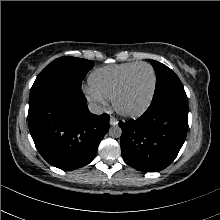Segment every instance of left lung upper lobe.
Segmentation results:
<instances>
[{"label":"left lung upper lobe","mask_w":220,"mask_h":220,"mask_svg":"<svg viewBox=\"0 0 220 220\" xmlns=\"http://www.w3.org/2000/svg\"><path fill=\"white\" fill-rule=\"evenodd\" d=\"M156 72V88L151 105L172 103L188 109V98L178 76L166 65L152 60Z\"/></svg>","instance_id":"obj_1"}]
</instances>
